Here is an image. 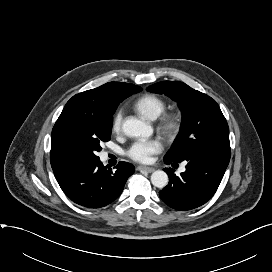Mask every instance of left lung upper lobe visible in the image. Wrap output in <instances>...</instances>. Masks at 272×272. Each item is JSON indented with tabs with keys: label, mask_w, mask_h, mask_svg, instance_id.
Listing matches in <instances>:
<instances>
[{
	"label": "left lung upper lobe",
	"mask_w": 272,
	"mask_h": 272,
	"mask_svg": "<svg viewBox=\"0 0 272 272\" xmlns=\"http://www.w3.org/2000/svg\"><path fill=\"white\" fill-rule=\"evenodd\" d=\"M147 91L167 95L182 112L180 132L164 159L181 162L205 151H230L227 121L211 97L179 81L155 83Z\"/></svg>",
	"instance_id": "1"
}]
</instances>
